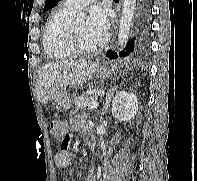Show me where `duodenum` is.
Returning a JSON list of instances; mask_svg holds the SVG:
<instances>
[{
  "label": "duodenum",
  "mask_w": 197,
  "mask_h": 181,
  "mask_svg": "<svg viewBox=\"0 0 197 181\" xmlns=\"http://www.w3.org/2000/svg\"><path fill=\"white\" fill-rule=\"evenodd\" d=\"M85 138H86V141H87V144H88L89 148L94 149L95 145H96V141H95V138H94L93 134L90 133Z\"/></svg>",
  "instance_id": "obj_1"
}]
</instances>
